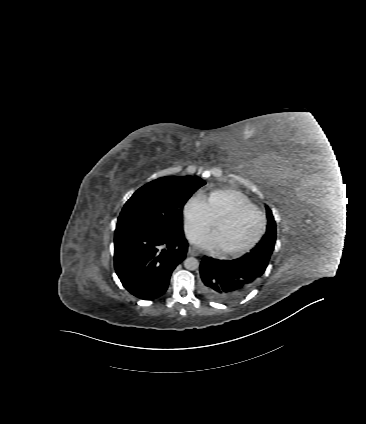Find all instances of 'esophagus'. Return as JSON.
<instances>
[{"instance_id": "esophagus-1", "label": "esophagus", "mask_w": 366, "mask_h": 424, "mask_svg": "<svg viewBox=\"0 0 366 424\" xmlns=\"http://www.w3.org/2000/svg\"><path fill=\"white\" fill-rule=\"evenodd\" d=\"M188 253H189V255H191V256H198V255H199V254H198V251H197L195 248H189Z\"/></svg>"}]
</instances>
